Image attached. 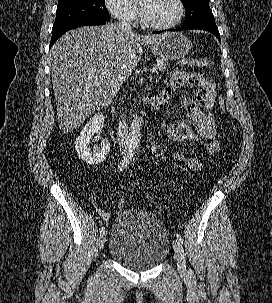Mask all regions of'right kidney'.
I'll use <instances>...</instances> for the list:
<instances>
[{"label":"right kidney","mask_w":272,"mask_h":303,"mask_svg":"<svg viewBox=\"0 0 272 303\" xmlns=\"http://www.w3.org/2000/svg\"><path fill=\"white\" fill-rule=\"evenodd\" d=\"M104 126V116L102 113H95L89 119L82 129L80 135L76 138L75 149L78 157L90 165H98L102 163L110 152V143L108 140H102V148L92 153L88 146L94 135L100 134Z\"/></svg>","instance_id":"1"}]
</instances>
